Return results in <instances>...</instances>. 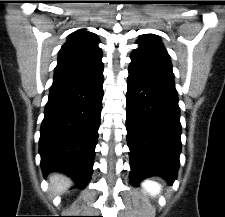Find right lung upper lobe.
I'll return each instance as SVG.
<instances>
[{
	"label": "right lung upper lobe",
	"instance_id": "1",
	"mask_svg": "<svg viewBox=\"0 0 225 217\" xmlns=\"http://www.w3.org/2000/svg\"><path fill=\"white\" fill-rule=\"evenodd\" d=\"M98 37L84 29L73 32L59 51L51 89L94 82L103 76Z\"/></svg>",
	"mask_w": 225,
	"mask_h": 217
}]
</instances>
